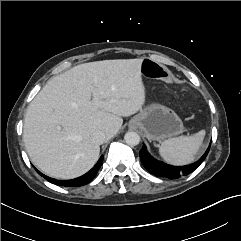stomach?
Returning <instances> with one entry per match:
<instances>
[{
  "label": "stomach",
  "mask_w": 241,
  "mask_h": 241,
  "mask_svg": "<svg viewBox=\"0 0 241 241\" xmlns=\"http://www.w3.org/2000/svg\"><path fill=\"white\" fill-rule=\"evenodd\" d=\"M132 129H140L148 140H165L184 130L180 117L170 108L152 103L135 115L129 122Z\"/></svg>",
  "instance_id": "obj_1"
}]
</instances>
